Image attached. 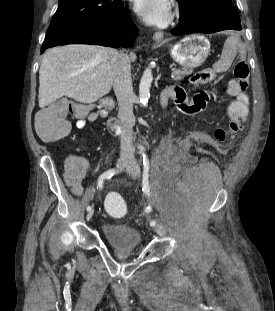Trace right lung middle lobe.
<instances>
[{
    "label": "right lung middle lobe",
    "mask_w": 275,
    "mask_h": 311,
    "mask_svg": "<svg viewBox=\"0 0 275 311\" xmlns=\"http://www.w3.org/2000/svg\"><path fill=\"white\" fill-rule=\"evenodd\" d=\"M123 6L118 0H59L49 29L55 26L111 13Z\"/></svg>",
    "instance_id": "obj_1"
}]
</instances>
